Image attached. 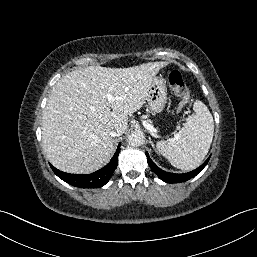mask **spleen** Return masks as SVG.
I'll return each instance as SVG.
<instances>
[{"label": "spleen", "mask_w": 257, "mask_h": 257, "mask_svg": "<svg viewBox=\"0 0 257 257\" xmlns=\"http://www.w3.org/2000/svg\"><path fill=\"white\" fill-rule=\"evenodd\" d=\"M193 109L195 113L188 116L174 138L156 144L159 153L181 170L197 168L207 155L213 139L214 121L207 106L196 100Z\"/></svg>", "instance_id": "3e777b00"}]
</instances>
